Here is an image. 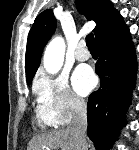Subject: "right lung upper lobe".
I'll list each match as a JSON object with an SVG mask.
<instances>
[{
	"label": "right lung upper lobe",
	"mask_w": 139,
	"mask_h": 150,
	"mask_svg": "<svg viewBox=\"0 0 139 150\" xmlns=\"http://www.w3.org/2000/svg\"><path fill=\"white\" fill-rule=\"evenodd\" d=\"M77 8L88 20H94L96 27L93 32L97 37L109 21L118 13L110 0H76ZM56 19L52 10L43 11L37 16L29 32L26 48V79H33L41 60L44 46L53 35Z\"/></svg>",
	"instance_id": "right-lung-upper-lobe-1"
}]
</instances>
